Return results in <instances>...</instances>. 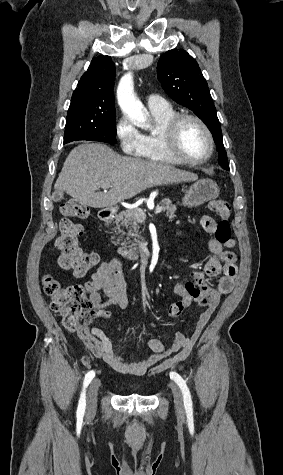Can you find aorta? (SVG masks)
Listing matches in <instances>:
<instances>
[{
	"instance_id": "obj_1",
	"label": "aorta",
	"mask_w": 283,
	"mask_h": 475,
	"mask_svg": "<svg viewBox=\"0 0 283 475\" xmlns=\"http://www.w3.org/2000/svg\"><path fill=\"white\" fill-rule=\"evenodd\" d=\"M117 99L122 112L132 122L141 128H150V125L147 124L148 112L134 93L131 73L121 78L117 88Z\"/></svg>"
}]
</instances>
